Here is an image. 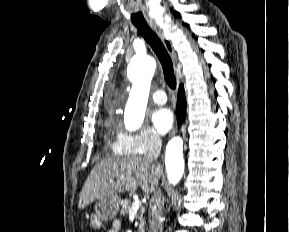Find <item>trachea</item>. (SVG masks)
<instances>
[{"label":"trachea","instance_id":"trachea-1","mask_svg":"<svg viewBox=\"0 0 289 232\" xmlns=\"http://www.w3.org/2000/svg\"><path fill=\"white\" fill-rule=\"evenodd\" d=\"M135 26L157 55L162 65L164 79L167 85L171 89H175L176 77L174 74L173 63L160 38L147 24H135Z\"/></svg>","mask_w":289,"mask_h":232}]
</instances>
